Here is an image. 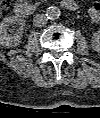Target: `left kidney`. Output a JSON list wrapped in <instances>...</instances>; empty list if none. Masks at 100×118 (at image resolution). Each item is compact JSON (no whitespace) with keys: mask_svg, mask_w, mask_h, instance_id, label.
I'll list each match as a JSON object with an SVG mask.
<instances>
[{"mask_svg":"<svg viewBox=\"0 0 100 118\" xmlns=\"http://www.w3.org/2000/svg\"><path fill=\"white\" fill-rule=\"evenodd\" d=\"M92 44L97 48L99 47V44H100V34H99V32H96V33L93 34Z\"/></svg>","mask_w":100,"mask_h":118,"instance_id":"1","label":"left kidney"}]
</instances>
